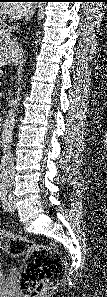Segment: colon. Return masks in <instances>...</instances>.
<instances>
[{
	"label": "colon",
	"instance_id": "obj_1",
	"mask_svg": "<svg viewBox=\"0 0 107 297\" xmlns=\"http://www.w3.org/2000/svg\"><path fill=\"white\" fill-rule=\"evenodd\" d=\"M0 248L13 256L25 257L19 286L28 297H40L52 291L64 273L61 257L49 246L1 231Z\"/></svg>",
	"mask_w": 107,
	"mask_h": 297
}]
</instances>
